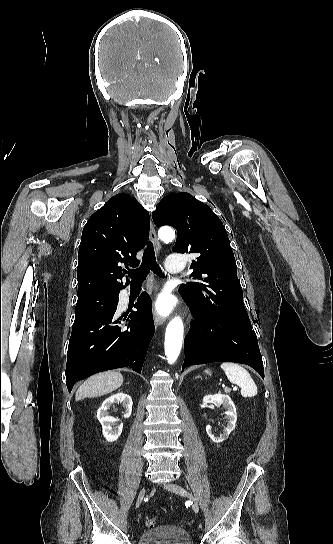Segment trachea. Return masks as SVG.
<instances>
[{
  "mask_svg": "<svg viewBox=\"0 0 333 544\" xmlns=\"http://www.w3.org/2000/svg\"><path fill=\"white\" fill-rule=\"evenodd\" d=\"M150 271L158 276L163 275L162 270L156 262L152 243H149L148 247L145 249L140 267L134 270H129L128 275L131 278V282H143Z\"/></svg>",
  "mask_w": 333,
  "mask_h": 544,
  "instance_id": "1",
  "label": "trachea"
}]
</instances>
